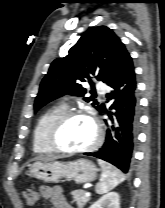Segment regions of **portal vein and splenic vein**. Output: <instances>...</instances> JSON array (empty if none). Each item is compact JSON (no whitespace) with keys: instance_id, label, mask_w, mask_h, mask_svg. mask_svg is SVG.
<instances>
[{"instance_id":"obj_1","label":"portal vein and splenic vein","mask_w":165,"mask_h":208,"mask_svg":"<svg viewBox=\"0 0 165 208\" xmlns=\"http://www.w3.org/2000/svg\"><path fill=\"white\" fill-rule=\"evenodd\" d=\"M85 195H86L87 197H90L91 194H90V192H86Z\"/></svg>"}]
</instances>
